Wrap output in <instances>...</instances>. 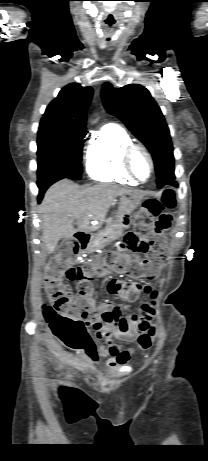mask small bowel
<instances>
[{
    "instance_id": "c3829d8e",
    "label": "small bowel",
    "mask_w": 208,
    "mask_h": 461,
    "mask_svg": "<svg viewBox=\"0 0 208 461\" xmlns=\"http://www.w3.org/2000/svg\"><path fill=\"white\" fill-rule=\"evenodd\" d=\"M121 220L128 222L129 214H122ZM146 260V257H142ZM106 291L120 299L135 301L141 293L155 296V291L150 285H141L136 281L123 282L111 280L106 286ZM155 308L153 303L144 304L138 313L123 315L121 309L112 303H102L95 309L93 317L85 319L88 328L95 330L97 340H104L102 345L92 343L81 350L91 361L97 362L105 358L110 367H126L131 350L121 349L113 342V338L122 341H135L143 332V324H150L154 317Z\"/></svg>"
}]
</instances>
